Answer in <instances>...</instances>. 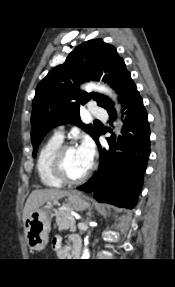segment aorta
I'll list each match as a JSON object with an SVG mask.
<instances>
[{
  "label": "aorta",
  "instance_id": "1",
  "mask_svg": "<svg viewBox=\"0 0 175 287\" xmlns=\"http://www.w3.org/2000/svg\"><path fill=\"white\" fill-rule=\"evenodd\" d=\"M85 89L87 91L95 90V91L113 96L111 90L106 88L105 86H100V85H96V84L91 83V84L86 85ZM91 225H95V223L92 222ZM87 244H88V236L85 239V246ZM89 256H90L89 250L87 249V247H85L83 250V253H82V259H89Z\"/></svg>",
  "mask_w": 175,
  "mask_h": 287
}]
</instances>
